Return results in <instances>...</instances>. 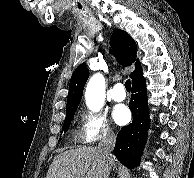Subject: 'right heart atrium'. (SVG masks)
<instances>
[{"label":"right heart atrium","instance_id":"right-heart-atrium-1","mask_svg":"<svg viewBox=\"0 0 194 178\" xmlns=\"http://www.w3.org/2000/svg\"><path fill=\"white\" fill-rule=\"evenodd\" d=\"M78 119L75 140L81 145H93L99 141L113 139L115 136L107 118L101 113L84 109L79 112Z\"/></svg>","mask_w":194,"mask_h":178}]
</instances>
